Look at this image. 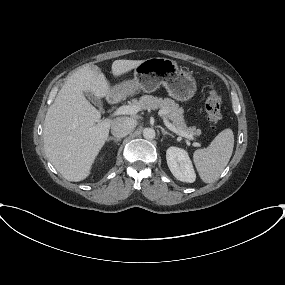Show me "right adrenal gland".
I'll return each instance as SVG.
<instances>
[{
    "label": "right adrenal gland",
    "mask_w": 285,
    "mask_h": 285,
    "mask_svg": "<svg viewBox=\"0 0 285 285\" xmlns=\"http://www.w3.org/2000/svg\"><path fill=\"white\" fill-rule=\"evenodd\" d=\"M109 141H114L115 143H118L121 141V139L116 138V137H108L107 142H109Z\"/></svg>",
    "instance_id": "obj_1"
}]
</instances>
